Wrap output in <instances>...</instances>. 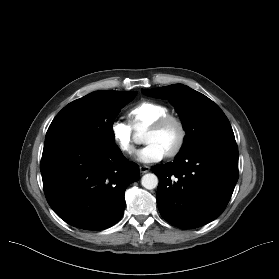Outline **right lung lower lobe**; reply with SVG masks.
<instances>
[{
	"label": "right lung lower lobe",
	"mask_w": 279,
	"mask_h": 279,
	"mask_svg": "<svg viewBox=\"0 0 279 279\" xmlns=\"http://www.w3.org/2000/svg\"><path fill=\"white\" fill-rule=\"evenodd\" d=\"M40 169L50 207L84 230L116 224L124 212L125 189L139 176V166L116 145L102 148L76 138L45 144Z\"/></svg>",
	"instance_id": "obj_1"
}]
</instances>
